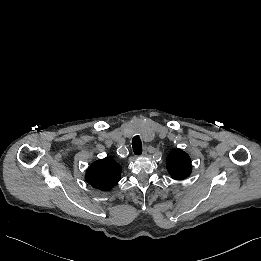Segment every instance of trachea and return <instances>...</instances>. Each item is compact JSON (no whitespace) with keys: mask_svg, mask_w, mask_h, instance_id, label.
Instances as JSON below:
<instances>
[{"mask_svg":"<svg viewBox=\"0 0 261 261\" xmlns=\"http://www.w3.org/2000/svg\"><path fill=\"white\" fill-rule=\"evenodd\" d=\"M132 147L134 154L140 155L143 151L142 142L138 133L132 139Z\"/></svg>","mask_w":261,"mask_h":261,"instance_id":"3493384b","label":"trachea"}]
</instances>
